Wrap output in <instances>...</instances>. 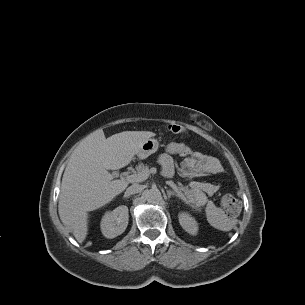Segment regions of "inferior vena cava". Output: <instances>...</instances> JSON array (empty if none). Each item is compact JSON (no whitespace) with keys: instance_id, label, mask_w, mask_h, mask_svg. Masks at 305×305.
<instances>
[{"instance_id":"1","label":"inferior vena cava","mask_w":305,"mask_h":305,"mask_svg":"<svg viewBox=\"0 0 305 305\" xmlns=\"http://www.w3.org/2000/svg\"><path fill=\"white\" fill-rule=\"evenodd\" d=\"M143 190V186L139 184H133L130 187L127 188L125 192V196H130L136 193H139Z\"/></svg>"}]
</instances>
